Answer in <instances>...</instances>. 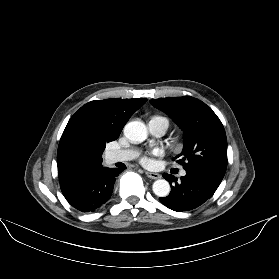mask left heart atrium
I'll return each mask as SVG.
<instances>
[{
	"instance_id": "left-heart-atrium-1",
	"label": "left heart atrium",
	"mask_w": 279,
	"mask_h": 279,
	"mask_svg": "<svg viewBox=\"0 0 279 279\" xmlns=\"http://www.w3.org/2000/svg\"><path fill=\"white\" fill-rule=\"evenodd\" d=\"M160 155H162V150L155 149V150L149 152L148 154H146L145 156H143V158L141 159V163L143 165H149L151 162L150 156H160Z\"/></svg>"
}]
</instances>
